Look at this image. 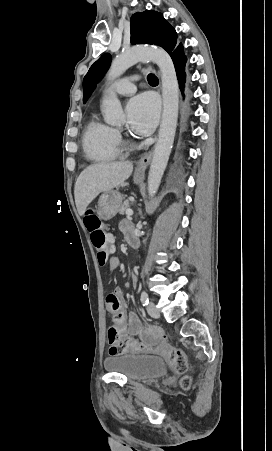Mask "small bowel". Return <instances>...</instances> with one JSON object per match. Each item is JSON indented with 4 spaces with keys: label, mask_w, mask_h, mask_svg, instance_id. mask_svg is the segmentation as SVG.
I'll list each match as a JSON object with an SVG mask.
<instances>
[{
    "label": "small bowel",
    "mask_w": 272,
    "mask_h": 451,
    "mask_svg": "<svg viewBox=\"0 0 272 451\" xmlns=\"http://www.w3.org/2000/svg\"><path fill=\"white\" fill-rule=\"evenodd\" d=\"M120 230L123 232L128 241V237L135 235L133 226L130 221L123 220L120 223ZM109 243L113 242V237L108 238ZM108 268L110 270L116 269L120 265V260L116 256H111L108 259ZM133 284L137 283L135 274L132 276ZM108 311L115 317L122 314L125 317L127 304L124 300L123 291L121 288H116L112 293L108 294L106 298ZM129 336H140L143 343L158 346L162 339V334L159 329L155 327L144 328L139 317L134 312H129L127 321L124 326L118 328L117 337L123 339Z\"/></svg>",
    "instance_id": "small-bowel-1"
}]
</instances>
